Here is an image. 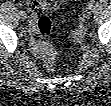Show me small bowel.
Here are the masks:
<instances>
[{
    "label": "small bowel",
    "instance_id": "small-bowel-1",
    "mask_svg": "<svg viewBox=\"0 0 111 106\" xmlns=\"http://www.w3.org/2000/svg\"><path fill=\"white\" fill-rule=\"evenodd\" d=\"M63 0H50V1H30L29 6L34 14L40 11L52 12L58 9V7L64 3Z\"/></svg>",
    "mask_w": 111,
    "mask_h": 106
}]
</instances>
